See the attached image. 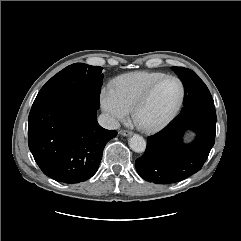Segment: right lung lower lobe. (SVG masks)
Wrapping results in <instances>:
<instances>
[{
    "label": "right lung lower lobe",
    "instance_id": "right-lung-lower-lobe-1",
    "mask_svg": "<svg viewBox=\"0 0 241 241\" xmlns=\"http://www.w3.org/2000/svg\"><path fill=\"white\" fill-rule=\"evenodd\" d=\"M96 111L84 101L31 109L28 145L45 175L72 184L96 173L106 143L117 135L115 130H106L98 124Z\"/></svg>",
    "mask_w": 241,
    "mask_h": 241
}]
</instances>
